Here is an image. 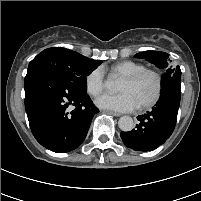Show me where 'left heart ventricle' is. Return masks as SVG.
<instances>
[{
    "label": "left heart ventricle",
    "mask_w": 201,
    "mask_h": 201,
    "mask_svg": "<svg viewBox=\"0 0 201 201\" xmlns=\"http://www.w3.org/2000/svg\"><path fill=\"white\" fill-rule=\"evenodd\" d=\"M155 87V79L151 75H146L134 83L122 80L119 91L129 93L137 105H140L147 102L153 96Z\"/></svg>",
    "instance_id": "b2bd125f"
}]
</instances>
